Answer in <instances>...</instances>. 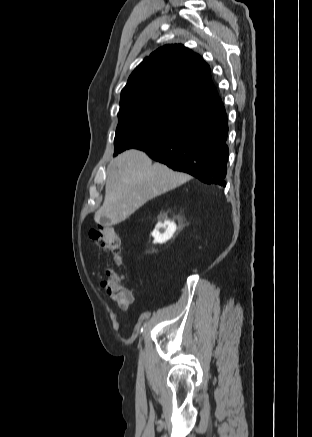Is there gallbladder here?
Returning <instances> with one entry per match:
<instances>
[{"label":"gallbladder","instance_id":"obj_1","mask_svg":"<svg viewBox=\"0 0 312 437\" xmlns=\"http://www.w3.org/2000/svg\"><path fill=\"white\" fill-rule=\"evenodd\" d=\"M105 222V220L104 219H101V223H104Z\"/></svg>","mask_w":312,"mask_h":437}]
</instances>
